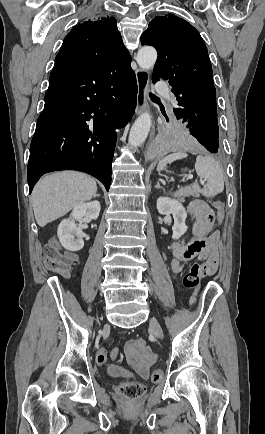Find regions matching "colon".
Segmentation results:
<instances>
[{
	"mask_svg": "<svg viewBox=\"0 0 265 434\" xmlns=\"http://www.w3.org/2000/svg\"><path fill=\"white\" fill-rule=\"evenodd\" d=\"M212 206L216 211L215 219L218 223H221L225 216L224 202L220 198L212 200ZM45 259L43 262L44 267L48 271L55 272L57 274H66L69 270L71 259L68 255H63L59 252L58 247L55 245H48L45 250ZM201 269L200 262H194L189 267L188 271L184 274L183 284L189 289L193 290L194 286H197L202 278H199L198 271ZM107 351L100 349L96 356V361L99 365H105L107 362ZM163 372L161 370H154L151 374L153 381L157 382L162 379ZM145 385L143 382H126L122 383L118 389L126 395V400L132 403L135 397L140 396L143 393Z\"/></svg>",
	"mask_w": 265,
	"mask_h": 434,
	"instance_id": "obj_1",
	"label": "colon"
}]
</instances>
